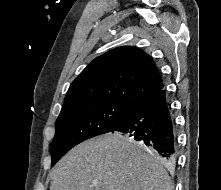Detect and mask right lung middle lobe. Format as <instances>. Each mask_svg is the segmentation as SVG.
<instances>
[{
    "label": "right lung middle lobe",
    "instance_id": "obj_1",
    "mask_svg": "<svg viewBox=\"0 0 221 190\" xmlns=\"http://www.w3.org/2000/svg\"><path fill=\"white\" fill-rule=\"evenodd\" d=\"M133 106L117 101H95L63 107L52 142V165L75 145L113 131Z\"/></svg>",
    "mask_w": 221,
    "mask_h": 190
}]
</instances>
